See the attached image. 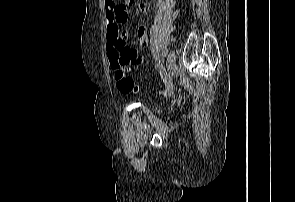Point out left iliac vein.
<instances>
[{
    "label": "left iliac vein",
    "instance_id": "4c4485c4",
    "mask_svg": "<svg viewBox=\"0 0 295 202\" xmlns=\"http://www.w3.org/2000/svg\"><path fill=\"white\" fill-rule=\"evenodd\" d=\"M175 61H176L175 52L173 50H171L168 53V57L166 60V65H165V71L170 70L175 65Z\"/></svg>",
    "mask_w": 295,
    "mask_h": 202
}]
</instances>
